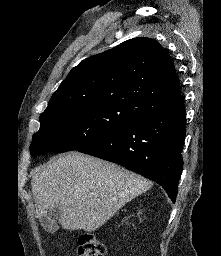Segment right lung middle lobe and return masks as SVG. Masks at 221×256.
I'll use <instances>...</instances> for the list:
<instances>
[{
    "mask_svg": "<svg viewBox=\"0 0 221 256\" xmlns=\"http://www.w3.org/2000/svg\"><path fill=\"white\" fill-rule=\"evenodd\" d=\"M114 104H97L41 114V126L30 146L35 157L50 151L77 150L113 129L136 119Z\"/></svg>",
    "mask_w": 221,
    "mask_h": 256,
    "instance_id": "right-lung-middle-lobe-1",
    "label": "right lung middle lobe"
}]
</instances>
